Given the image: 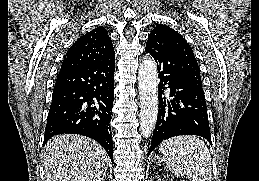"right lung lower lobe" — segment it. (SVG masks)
Returning a JSON list of instances; mask_svg holds the SVG:
<instances>
[{
  "mask_svg": "<svg viewBox=\"0 0 259 181\" xmlns=\"http://www.w3.org/2000/svg\"><path fill=\"white\" fill-rule=\"evenodd\" d=\"M115 55L98 63L59 72L53 90L44 144L54 135L80 134L100 143L113 159L110 121Z\"/></svg>",
  "mask_w": 259,
  "mask_h": 181,
  "instance_id": "obj_1",
  "label": "right lung lower lobe"
}]
</instances>
